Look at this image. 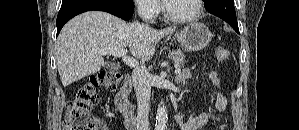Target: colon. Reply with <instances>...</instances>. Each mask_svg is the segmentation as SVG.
<instances>
[{"instance_id":"obj_1","label":"colon","mask_w":299,"mask_h":130,"mask_svg":"<svg viewBox=\"0 0 299 130\" xmlns=\"http://www.w3.org/2000/svg\"><path fill=\"white\" fill-rule=\"evenodd\" d=\"M216 58L219 62L227 61L228 50L223 47L217 48ZM120 81L121 75L115 71H101L92 75L78 90L75 98L67 102L63 130H108L90 112L99 101L98 89H115Z\"/></svg>"}]
</instances>
